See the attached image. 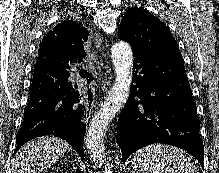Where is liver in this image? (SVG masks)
<instances>
[{
	"label": "liver",
	"mask_w": 219,
	"mask_h": 173,
	"mask_svg": "<svg viewBox=\"0 0 219 173\" xmlns=\"http://www.w3.org/2000/svg\"><path fill=\"white\" fill-rule=\"evenodd\" d=\"M70 145L60 138L39 137L26 143L16 154L12 173H40L59 159Z\"/></svg>",
	"instance_id": "liver-1"
}]
</instances>
